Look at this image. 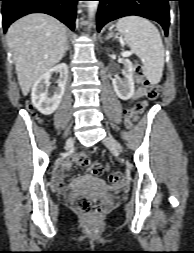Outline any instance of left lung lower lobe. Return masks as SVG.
<instances>
[{
	"instance_id": "0a47b994",
	"label": "left lung lower lobe",
	"mask_w": 194,
	"mask_h": 253,
	"mask_svg": "<svg viewBox=\"0 0 194 253\" xmlns=\"http://www.w3.org/2000/svg\"><path fill=\"white\" fill-rule=\"evenodd\" d=\"M98 31L108 22L128 16L137 15L157 21L168 34L170 23L169 4L171 0H98Z\"/></svg>"
}]
</instances>
